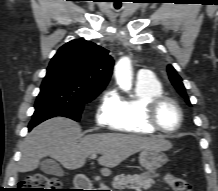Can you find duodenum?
Listing matches in <instances>:
<instances>
[{
  "label": "duodenum",
  "mask_w": 218,
  "mask_h": 191,
  "mask_svg": "<svg viewBox=\"0 0 218 191\" xmlns=\"http://www.w3.org/2000/svg\"><path fill=\"white\" fill-rule=\"evenodd\" d=\"M92 187L90 179L84 175H79L75 179V189L76 191H89Z\"/></svg>",
  "instance_id": "410a0bca"
}]
</instances>
